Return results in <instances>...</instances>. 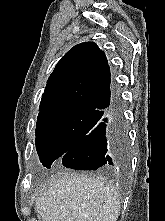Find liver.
<instances>
[{
    "label": "liver",
    "mask_w": 165,
    "mask_h": 221,
    "mask_svg": "<svg viewBox=\"0 0 165 221\" xmlns=\"http://www.w3.org/2000/svg\"><path fill=\"white\" fill-rule=\"evenodd\" d=\"M35 210L43 221H116L120 199L104 178L64 172L42 190Z\"/></svg>",
    "instance_id": "obj_1"
}]
</instances>
